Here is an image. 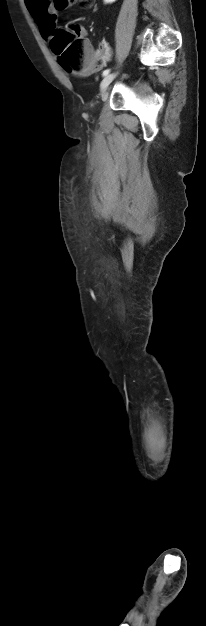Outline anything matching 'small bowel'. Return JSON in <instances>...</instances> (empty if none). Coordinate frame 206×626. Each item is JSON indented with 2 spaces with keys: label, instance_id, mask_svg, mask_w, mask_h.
Segmentation results:
<instances>
[{
  "label": "small bowel",
  "instance_id": "c3829d8e",
  "mask_svg": "<svg viewBox=\"0 0 206 626\" xmlns=\"http://www.w3.org/2000/svg\"><path fill=\"white\" fill-rule=\"evenodd\" d=\"M28 8L39 25L43 37L49 42L55 52L56 11L50 6L47 0H31L28 2ZM77 34L80 38L84 39L85 46L88 50L87 57L81 68L75 69L70 67L64 61L61 54L56 52L55 54L58 55L59 64L68 73L75 77H87L99 71L101 67L111 59L112 50L106 42H102L98 49H93L90 41L87 39L88 32L85 27H79Z\"/></svg>",
  "mask_w": 206,
  "mask_h": 626
}]
</instances>
